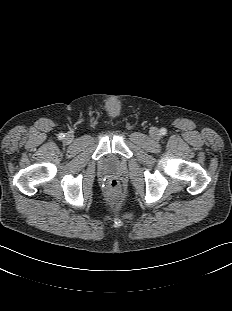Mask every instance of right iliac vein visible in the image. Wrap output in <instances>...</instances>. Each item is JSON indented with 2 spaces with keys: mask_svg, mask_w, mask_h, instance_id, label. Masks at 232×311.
<instances>
[{
  "mask_svg": "<svg viewBox=\"0 0 232 311\" xmlns=\"http://www.w3.org/2000/svg\"><path fill=\"white\" fill-rule=\"evenodd\" d=\"M64 140L65 142L70 143L73 140V136L71 134H67Z\"/></svg>",
  "mask_w": 232,
  "mask_h": 311,
  "instance_id": "63e3f726",
  "label": "right iliac vein"
}]
</instances>
